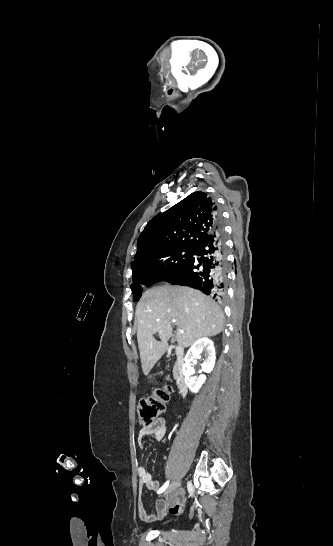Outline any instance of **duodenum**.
<instances>
[{
	"label": "duodenum",
	"instance_id": "1",
	"mask_svg": "<svg viewBox=\"0 0 333 546\" xmlns=\"http://www.w3.org/2000/svg\"><path fill=\"white\" fill-rule=\"evenodd\" d=\"M173 355L175 357V364L173 368V376L180 395L184 396L187 393V385L183 372V365L185 360L184 349L181 346L173 347Z\"/></svg>",
	"mask_w": 333,
	"mask_h": 546
}]
</instances>
